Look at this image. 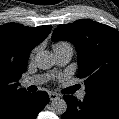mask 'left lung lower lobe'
<instances>
[{
    "instance_id": "left-lung-lower-lobe-1",
    "label": "left lung lower lobe",
    "mask_w": 119,
    "mask_h": 119,
    "mask_svg": "<svg viewBox=\"0 0 119 119\" xmlns=\"http://www.w3.org/2000/svg\"><path fill=\"white\" fill-rule=\"evenodd\" d=\"M67 111L61 119H119V101L86 94L83 101L71 95L63 97Z\"/></svg>"
}]
</instances>
